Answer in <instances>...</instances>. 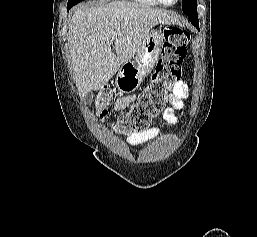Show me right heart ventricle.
<instances>
[{"label": "right heart ventricle", "mask_w": 257, "mask_h": 237, "mask_svg": "<svg viewBox=\"0 0 257 237\" xmlns=\"http://www.w3.org/2000/svg\"><path fill=\"white\" fill-rule=\"evenodd\" d=\"M133 2L142 4V5H148V6H157L159 5L157 0H132Z\"/></svg>", "instance_id": "right-heart-ventricle-1"}]
</instances>
